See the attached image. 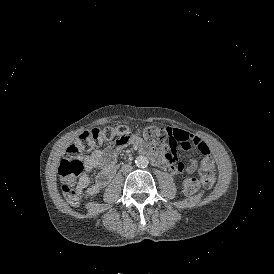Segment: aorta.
I'll return each instance as SVG.
<instances>
[{
  "label": "aorta",
  "instance_id": "1",
  "mask_svg": "<svg viewBox=\"0 0 274 274\" xmlns=\"http://www.w3.org/2000/svg\"><path fill=\"white\" fill-rule=\"evenodd\" d=\"M148 163H149L148 158L145 156H138L135 160V164L139 168L147 167Z\"/></svg>",
  "mask_w": 274,
  "mask_h": 274
}]
</instances>
